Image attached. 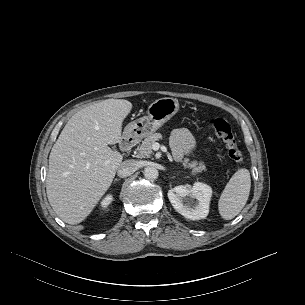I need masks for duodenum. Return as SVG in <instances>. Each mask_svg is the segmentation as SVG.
<instances>
[{
  "instance_id": "duodenum-1",
  "label": "duodenum",
  "mask_w": 305,
  "mask_h": 305,
  "mask_svg": "<svg viewBox=\"0 0 305 305\" xmlns=\"http://www.w3.org/2000/svg\"><path fill=\"white\" fill-rule=\"evenodd\" d=\"M136 143V137L133 134H128L126 136L123 137V139L121 140L120 143V148L123 151H128L130 150L133 145Z\"/></svg>"
}]
</instances>
